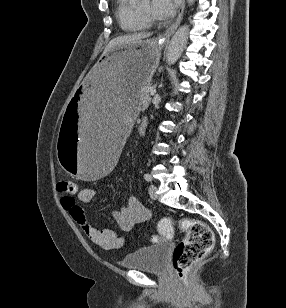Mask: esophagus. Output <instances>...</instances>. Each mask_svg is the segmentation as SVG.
I'll use <instances>...</instances> for the list:
<instances>
[{"instance_id": "1", "label": "esophagus", "mask_w": 286, "mask_h": 308, "mask_svg": "<svg viewBox=\"0 0 286 308\" xmlns=\"http://www.w3.org/2000/svg\"><path fill=\"white\" fill-rule=\"evenodd\" d=\"M184 8H185V0H182L181 1V5H180L179 10H178V16H177L175 22L163 34H161L160 37H159L163 41L169 40L171 35L178 28V26H179V24H180V22L182 20V17H183Z\"/></svg>"}]
</instances>
